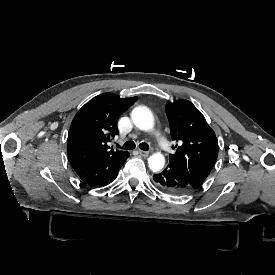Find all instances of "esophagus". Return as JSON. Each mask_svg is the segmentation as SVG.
<instances>
[{"label": "esophagus", "instance_id": "34e87169", "mask_svg": "<svg viewBox=\"0 0 275 275\" xmlns=\"http://www.w3.org/2000/svg\"><path fill=\"white\" fill-rule=\"evenodd\" d=\"M139 154L141 156L147 157L149 155V152L148 151H144V150H139Z\"/></svg>", "mask_w": 275, "mask_h": 275}]
</instances>
